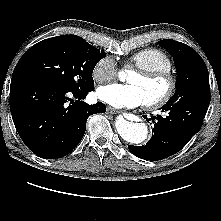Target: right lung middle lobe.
Masks as SVG:
<instances>
[{"instance_id":"right-lung-middle-lobe-1","label":"right lung middle lobe","mask_w":221,"mask_h":221,"mask_svg":"<svg viewBox=\"0 0 221 221\" xmlns=\"http://www.w3.org/2000/svg\"><path fill=\"white\" fill-rule=\"evenodd\" d=\"M105 56L76 35H62L33 45L18 61L15 70L26 71L71 90L92 89L94 67Z\"/></svg>"}]
</instances>
